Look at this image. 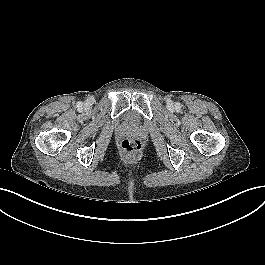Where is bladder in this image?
<instances>
[{
  "instance_id": "bladder-1",
  "label": "bladder",
  "mask_w": 265,
  "mask_h": 265,
  "mask_svg": "<svg viewBox=\"0 0 265 265\" xmlns=\"http://www.w3.org/2000/svg\"><path fill=\"white\" fill-rule=\"evenodd\" d=\"M137 120V113L134 111H128L125 114V121L129 125H133Z\"/></svg>"
}]
</instances>
